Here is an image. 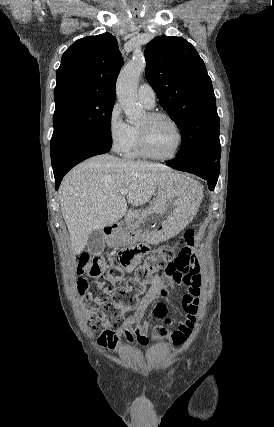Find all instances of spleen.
Segmentation results:
<instances>
[{
	"mask_svg": "<svg viewBox=\"0 0 274 427\" xmlns=\"http://www.w3.org/2000/svg\"><path fill=\"white\" fill-rule=\"evenodd\" d=\"M197 186H198V188L200 190L199 194H197V196H198V206H199V204H200V202L202 200V192H201V188H200L198 182H194V190H196Z\"/></svg>",
	"mask_w": 274,
	"mask_h": 427,
	"instance_id": "3e777b00",
	"label": "spleen"
}]
</instances>
